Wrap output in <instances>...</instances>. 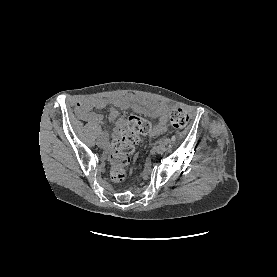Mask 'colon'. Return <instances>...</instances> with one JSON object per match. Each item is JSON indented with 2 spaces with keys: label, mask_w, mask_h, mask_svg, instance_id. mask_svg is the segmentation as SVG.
Returning a JSON list of instances; mask_svg holds the SVG:
<instances>
[{
  "label": "colon",
  "mask_w": 277,
  "mask_h": 277,
  "mask_svg": "<svg viewBox=\"0 0 277 277\" xmlns=\"http://www.w3.org/2000/svg\"><path fill=\"white\" fill-rule=\"evenodd\" d=\"M189 116L183 109H174L169 117V126L175 129L186 127ZM151 131L150 122L140 116L131 115L125 121L119 135L112 143L110 163L111 179L115 182H122L127 175V167L139 143L140 135Z\"/></svg>",
  "instance_id": "1"
}]
</instances>
